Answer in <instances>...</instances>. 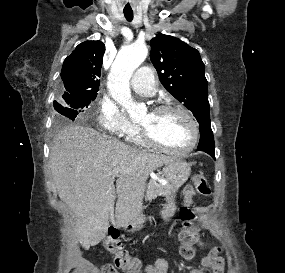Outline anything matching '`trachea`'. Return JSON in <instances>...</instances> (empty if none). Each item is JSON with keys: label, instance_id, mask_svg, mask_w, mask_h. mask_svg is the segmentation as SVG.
<instances>
[{"label": "trachea", "instance_id": "1", "mask_svg": "<svg viewBox=\"0 0 285 273\" xmlns=\"http://www.w3.org/2000/svg\"><path fill=\"white\" fill-rule=\"evenodd\" d=\"M124 16L128 21H132L133 19V12H124Z\"/></svg>", "mask_w": 285, "mask_h": 273}]
</instances>
